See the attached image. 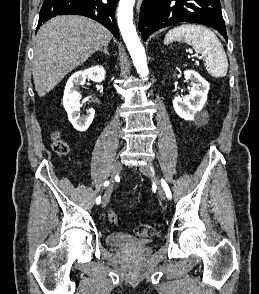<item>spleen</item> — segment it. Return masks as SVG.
<instances>
[{
    "instance_id": "3e777b00",
    "label": "spleen",
    "mask_w": 259,
    "mask_h": 294,
    "mask_svg": "<svg viewBox=\"0 0 259 294\" xmlns=\"http://www.w3.org/2000/svg\"><path fill=\"white\" fill-rule=\"evenodd\" d=\"M173 41L192 45L206 62V70L215 78L224 77L228 71V60L224 48L210 29L193 24H183L171 29L164 38V44Z\"/></svg>"
}]
</instances>
